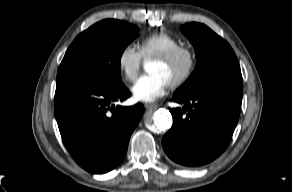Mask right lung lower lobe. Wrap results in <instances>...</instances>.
<instances>
[{
	"label": "right lung lower lobe",
	"mask_w": 292,
	"mask_h": 192,
	"mask_svg": "<svg viewBox=\"0 0 292 192\" xmlns=\"http://www.w3.org/2000/svg\"><path fill=\"white\" fill-rule=\"evenodd\" d=\"M130 96L123 85L112 89L94 81L64 77L57 79L54 111L62 140L85 170L101 174L124 158L130 136L144 109L116 106Z\"/></svg>",
	"instance_id": "98d812e1"
}]
</instances>
